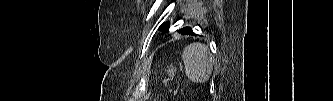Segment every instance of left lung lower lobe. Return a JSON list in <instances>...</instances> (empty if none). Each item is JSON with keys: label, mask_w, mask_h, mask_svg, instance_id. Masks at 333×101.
I'll list each match as a JSON object with an SVG mask.
<instances>
[{"label": "left lung lower lobe", "mask_w": 333, "mask_h": 101, "mask_svg": "<svg viewBox=\"0 0 333 101\" xmlns=\"http://www.w3.org/2000/svg\"><path fill=\"white\" fill-rule=\"evenodd\" d=\"M165 31H167V30H165ZM179 33H181L183 35H192V34H194L193 31L189 27H185V28L179 30Z\"/></svg>", "instance_id": "1"}]
</instances>
